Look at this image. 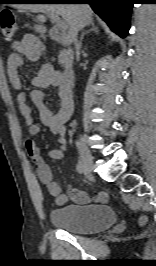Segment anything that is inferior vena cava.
I'll use <instances>...</instances> for the list:
<instances>
[{
  "instance_id": "obj_1",
  "label": "inferior vena cava",
  "mask_w": 156,
  "mask_h": 266,
  "mask_svg": "<svg viewBox=\"0 0 156 266\" xmlns=\"http://www.w3.org/2000/svg\"><path fill=\"white\" fill-rule=\"evenodd\" d=\"M74 42H75L76 52L78 53V51L80 49V45H79V42L77 41V33L75 34Z\"/></svg>"
}]
</instances>
